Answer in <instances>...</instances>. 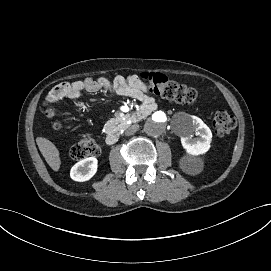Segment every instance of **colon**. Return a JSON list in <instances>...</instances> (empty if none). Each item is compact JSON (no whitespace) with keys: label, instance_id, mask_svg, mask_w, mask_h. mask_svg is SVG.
I'll use <instances>...</instances> for the list:
<instances>
[{"label":"colon","instance_id":"colon-1","mask_svg":"<svg viewBox=\"0 0 271 271\" xmlns=\"http://www.w3.org/2000/svg\"><path fill=\"white\" fill-rule=\"evenodd\" d=\"M140 78L144 80L148 90L154 94L160 95L168 100L180 103H195L199 101L200 94L193 88L169 80L160 73H142ZM45 113L53 118L57 114V109L53 102L45 103ZM236 126L235 118L225 110H219L214 114L213 127L218 137H224L229 134ZM55 129H60L59 123L54 124ZM100 148L95 139L90 135H85L78 143L70 149V156L74 160H82L87 157L98 156Z\"/></svg>","mask_w":271,"mask_h":271}]
</instances>
